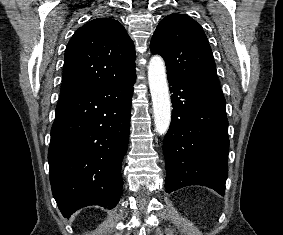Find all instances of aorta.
<instances>
[{
    "instance_id": "1",
    "label": "aorta",
    "mask_w": 283,
    "mask_h": 235,
    "mask_svg": "<svg viewBox=\"0 0 283 235\" xmlns=\"http://www.w3.org/2000/svg\"><path fill=\"white\" fill-rule=\"evenodd\" d=\"M148 81L153 104L154 124L159 135L167 133L171 121V101L165 63L155 55L150 59Z\"/></svg>"
}]
</instances>
